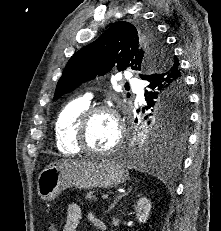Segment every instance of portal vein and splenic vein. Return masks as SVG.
<instances>
[{
  "label": "portal vein and splenic vein",
  "instance_id": "1",
  "mask_svg": "<svg viewBox=\"0 0 221 231\" xmlns=\"http://www.w3.org/2000/svg\"><path fill=\"white\" fill-rule=\"evenodd\" d=\"M108 196H109L108 194H102L101 195L102 199H108Z\"/></svg>",
  "mask_w": 221,
  "mask_h": 231
}]
</instances>
